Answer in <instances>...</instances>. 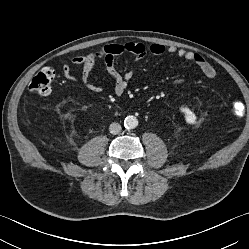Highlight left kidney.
I'll return each instance as SVG.
<instances>
[{"label": "left kidney", "instance_id": "5707ae66", "mask_svg": "<svg viewBox=\"0 0 249 249\" xmlns=\"http://www.w3.org/2000/svg\"><path fill=\"white\" fill-rule=\"evenodd\" d=\"M180 111L184 114L185 121L188 124L196 123V116L187 106L180 107Z\"/></svg>", "mask_w": 249, "mask_h": 249}]
</instances>
